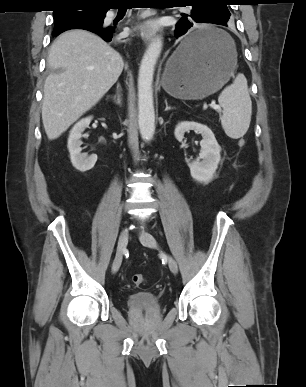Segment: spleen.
<instances>
[{"label": "spleen", "mask_w": 306, "mask_h": 387, "mask_svg": "<svg viewBox=\"0 0 306 387\" xmlns=\"http://www.w3.org/2000/svg\"><path fill=\"white\" fill-rule=\"evenodd\" d=\"M218 102L223 108L220 120L226 135L232 139L243 137L252 115V101L243 74L239 73L233 83L220 93Z\"/></svg>", "instance_id": "spleen-1"}]
</instances>
